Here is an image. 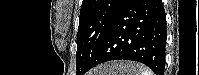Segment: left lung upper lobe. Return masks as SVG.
Listing matches in <instances>:
<instances>
[{"mask_svg":"<svg viewBox=\"0 0 199 75\" xmlns=\"http://www.w3.org/2000/svg\"><path fill=\"white\" fill-rule=\"evenodd\" d=\"M125 0H83L77 32V75H82L107 38Z\"/></svg>","mask_w":199,"mask_h":75,"instance_id":"5c2ea615","label":"left lung upper lobe"}]
</instances>
